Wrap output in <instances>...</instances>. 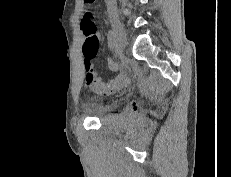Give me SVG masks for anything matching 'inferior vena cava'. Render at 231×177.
Listing matches in <instances>:
<instances>
[{"mask_svg": "<svg viewBox=\"0 0 231 177\" xmlns=\"http://www.w3.org/2000/svg\"><path fill=\"white\" fill-rule=\"evenodd\" d=\"M116 0H106L108 3H114Z\"/></svg>", "mask_w": 231, "mask_h": 177, "instance_id": "inferior-vena-cava-1", "label": "inferior vena cava"}]
</instances>
